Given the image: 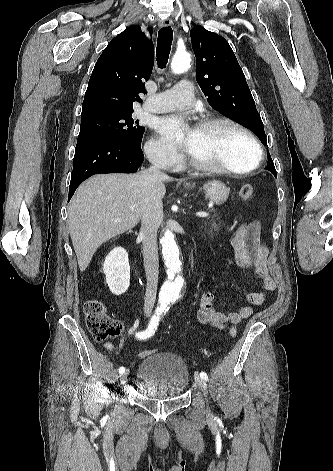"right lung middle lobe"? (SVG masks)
Wrapping results in <instances>:
<instances>
[{
  "label": "right lung middle lobe",
  "mask_w": 333,
  "mask_h": 471,
  "mask_svg": "<svg viewBox=\"0 0 333 471\" xmlns=\"http://www.w3.org/2000/svg\"><path fill=\"white\" fill-rule=\"evenodd\" d=\"M133 109L112 111L81 118L79 138L106 136L141 146L144 127L132 118Z\"/></svg>",
  "instance_id": "right-lung-middle-lobe-1"
}]
</instances>
